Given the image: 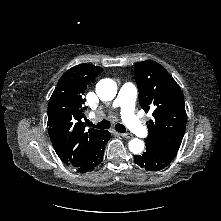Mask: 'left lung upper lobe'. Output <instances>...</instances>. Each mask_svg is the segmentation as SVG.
Segmentation results:
<instances>
[{
    "label": "left lung upper lobe",
    "mask_w": 221,
    "mask_h": 221,
    "mask_svg": "<svg viewBox=\"0 0 221 221\" xmlns=\"http://www.w3.org/2000/svg\"><path fill=\"white\" fill-rule=\"evenodd\" d=\"M139 103L153 119L147 122V148L172 160L181 145L186 129V111L181 88L159 63L146 60L135 65Z\"/></svg>",
    "instance_id": "obj_1"
}]
</instances>
